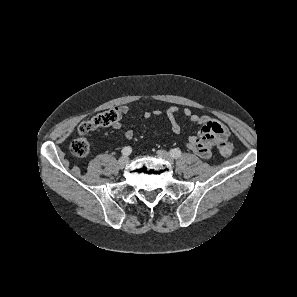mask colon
<instances>
[{
	"mask_svg": "<svg viewBox=\"0 0 297 297\" xmlns=\"http://www.w3.org/2000/svg\"><path fill=\"white\" fill-rule=\"evenodd\" d=\"M119 120L117 110H107L93 116L91 119L83 122L79 128V137L70 144V152L78 158L87 156L90 152V144L85 135L101 127L113 125ZM233 146L230 142L223 141L218 144V152L222 157H229L232 154Z\"/></svg>",
	"mask_w": 297,
	"mask_h": 297,
	"instance_id": "obj_1",
	"label": "colon"
}]
</instances>
